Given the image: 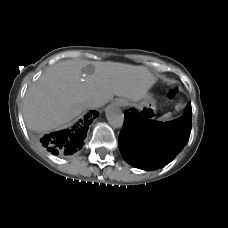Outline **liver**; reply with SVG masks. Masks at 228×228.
<instances>
[{"mask_svg":"<svg viewBox=\"0 0 228 228\" xmlns=\"http://www.w3.org/2000/svg\"><path fill=\"white\" fill-rule=\"evenodd\" d=\"M86 66L85 61L65 60L43 72L24 98L23 117L28 128L37 132L59 129L114 96L140 101L157 80L145 66L94 62V72L84 75ZM87 101H92L93 107L87 108Z\"/></svg>","mask_w":228,"mask_h":228,"instance_id":"6515ba94","label":"liver"}]
</instances>
